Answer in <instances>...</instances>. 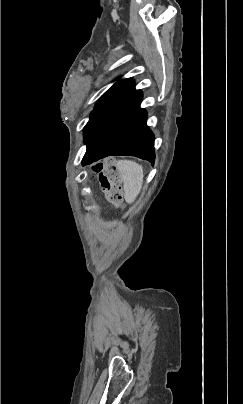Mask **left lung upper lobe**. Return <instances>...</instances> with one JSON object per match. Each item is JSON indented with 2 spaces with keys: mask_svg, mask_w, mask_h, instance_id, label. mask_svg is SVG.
I'll return each instance as SVG.
<instances>
[{
  "mask_svg": "<svg viewBox=\"0 0 243 404\" xmlns=\"http://www.w3.org/2000/svg\"><path fill=\"white\" fill-rule=\"evenodd\" d=\"M134 87L135 83L131 78L123 79L115 83L100 97L95 105L94 111L91 112L90 120L83 129L84 140L98 118L111 107L118 104L124 98L136 91Z\"/></svg>",
  "mask_w": 243,
  "mask_h": 404,
  "instance_id": "obj_1",
  "label": "left lung upper lobe"
}]
</instances>
